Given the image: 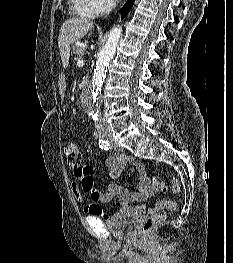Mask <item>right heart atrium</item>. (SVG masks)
Masks as SVG:
<instances>
[{
    "instance_id": "1",
    "label": "right heart atrium",
    "mask_w": 233,
    "mask_h": 263,
    "mask_svg": "<svg viewBox=\"0 0 233 263\" xmlns=\"http://www.w3.org/2000/svg\"><path fill=\"white\" fill-rule=\"evenodd\" d=\"M97 14L110 11L116 4V0H89Z\"/></svg>"
}]
</instances>
